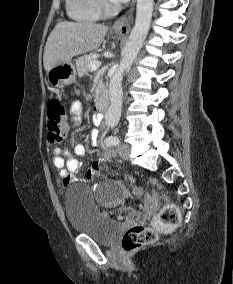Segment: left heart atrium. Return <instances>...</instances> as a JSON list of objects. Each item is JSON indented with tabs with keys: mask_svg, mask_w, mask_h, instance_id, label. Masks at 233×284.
<instances>
[{
	"mask_svg": "<svg viewBox=\"0 0 233 284\" xmlns=\"http://www.w3.org/2000/svg\"><path fill=\"white\" fill-rule=\"evenodd\" d=\"M113 3L115 4H120V3H125L127 2L128 0H111Z\"/></svg>",
	"mask_w": 233,
	"mask_h": 284,
	"instance_id": "left-heart-atrium-1",
	"label": "left heart atrium"
}]
</instances>
